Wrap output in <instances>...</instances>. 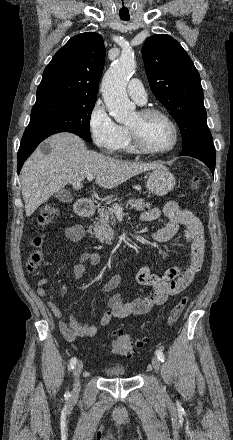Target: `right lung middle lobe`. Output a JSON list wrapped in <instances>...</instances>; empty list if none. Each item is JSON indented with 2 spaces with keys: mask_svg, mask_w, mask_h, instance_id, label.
<instances>
[{
  "mask_svg": "<svg viewBox=\"0 0 233 440\" xmlns=\"http://www.w3.org/2000/svg\"><path fill=\"white\" fill-rule=\"evenodd\" d=\"M95 102L96 99L58 97L35 103L27 128L65 130L92 142L89 123Z\"/></svg>",
  "mask_w": 233,
  "mask_h": 440,
  "instance_id": "right-lung-middle-lobe-1",
  "label": "right lung middle lobe"
}]
</instances>
